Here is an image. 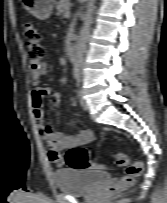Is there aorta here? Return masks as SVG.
<instances>
[{"label":"aorta","instance_id":"762f6f07","mask_svg":"<svg viewBox=\"0 0 167 203\" xmlns=\"http://www.w3.org/2000/svg\"><path fill=\"white\" fill-rule=\"evenodd\" d=\"M94 8V0H89L87 4V12L85 14L84 23L80 30L79 38L75 47L73 65L74 72L79 74L83 67L84 55L87 49V42L90 35V25L92 21V11Z\"/></svg>","mask_w":167,"mask_h":203}]
</instances>
